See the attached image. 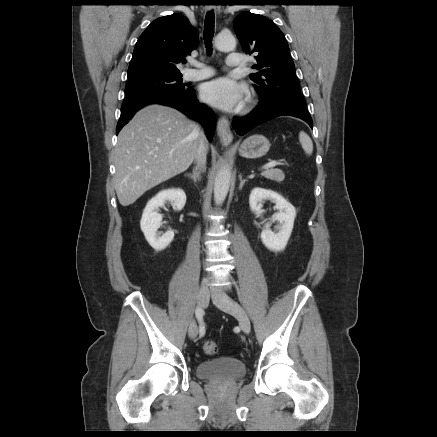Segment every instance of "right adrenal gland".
Instances as JSON below:
<instances>
[{
  "instance_id": "1",
  "label": "right adrenal gland",
  "mask_w": 437,
  "mask_h": 437,
  "mask_svg": "<svg viewBox=\"0 0 437 437\" xmlns=\"http://www.w3.org/2000/svg\"><path fill=\"white\" fill-rule=\"evenodd\" d=\"M200 174H201V169L198 166H196L193 169L192 173H187V174H185V176H187L188 178L192 179L194 181V183H196L197 180L198 181L200 180Z\"/></svg>"
}]
</instances>
